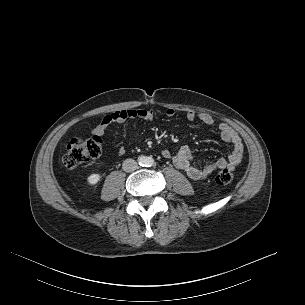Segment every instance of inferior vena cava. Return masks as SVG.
<instances>
[{
    "label": "inferior vena cava",
    "instance_id": "inferior-vena-cava-1",
    "mask_svg": "<svg viewBox=\"0 0 305 305\" xmlns=\"http://www.w3.org/2000/svg\"><path fill=\"white\" fill-rule=\"evenodd\" d=\"M137 167H138V164L133 159H126L122 164V168L125 172H132V171L136 170Z\"/></svg>",
    "mask_w": 305,
    "mask_h": 305
}]
</instances>
